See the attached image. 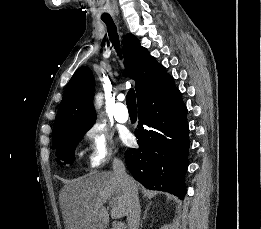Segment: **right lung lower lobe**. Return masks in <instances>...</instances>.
I'll return each instance as SVG.
<instances>
[{
  "label": "right lung lower lobe",
  "mask_w": 261,
  "mask_h": 229,
  "mask_svg": "<svg viewBox=\"0 0 261 229\" xmlns=\"http://www.w3.org/2000/svg\"><path fill=\"white\" fill-rule=\"evenodd\" d=\"M137 103L139 125L135 135L139 148L125 152L127 168L146 188L183 199L190 141L181 93L170 76Z\"/></svg>",
  "instance_id": "right-lung-lower-lobe-1"
}]
</instances>
